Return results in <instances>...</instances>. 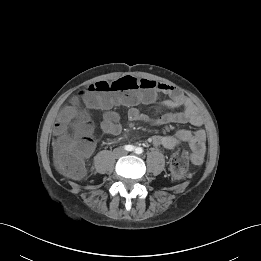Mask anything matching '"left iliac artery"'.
<instances>
[{
	"label": "left iliac artery",
	"mask_w": 261,
	"mask_h": 261,
	"mask_svg": "<svg viewBox=\"0 0 261 261\" xmlns=\"http://www.w3.org/2000/svg\"><path fill=\"white\" fill-rule=\"evenodd\" d=\"M141 151H142V150H141L140 148H137V149L135 150V153L140 154Z\"/></svg>",
	"instance_id": "44dca946"
}]
</instances>
